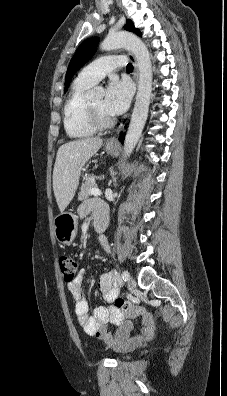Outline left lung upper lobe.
I'll list each match as a JSON object with an SVG mask.
<instances>
[{
  "label": "left lung upper lobe",
  "mask_w": 227,
  "mask_h": 396,
  "mask_svg": "<svg viewBox=\"0 0 227 396\" xmlns=\"http://www.w3.org/2000/svg\"><path fill=\"white\" fill-rule=\"evenodd\" d=\"M124 28H125V30L133 31L137 35L141 36L140 31L134 27L133 22L129 19L127 20V23L124 26ZM98 42H99V38L93 37V38L86 39L78 47L75 55L71 59V62L69 64V67H68V70L66 73L65 92L68 90L71 79H72L73 75L76 73V71L79 68H81L94 55Z\"/></svg>",
  "instance_id": "1"
}]
</instances>
